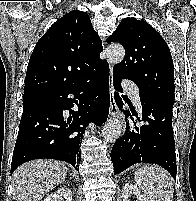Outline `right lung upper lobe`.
<instances>
[{"instance_id":"cb5924a9","label":"right lung upper lobe","mask_w":196,"mask_h":201,"mask_svg":"<svg viewBox=\"0 0 196 201\" xmlns=\"http://www.w3.org/2000/svg\"><path fill=\"white\" fill-rule=\"evenodd\" d=\"M102 41L86 12L58 19L37 42L30 57L23 97L38 96L80 80L99 66Z\"/></svg>"}]
</instances>
